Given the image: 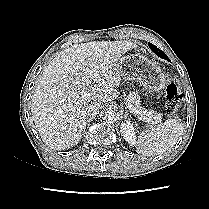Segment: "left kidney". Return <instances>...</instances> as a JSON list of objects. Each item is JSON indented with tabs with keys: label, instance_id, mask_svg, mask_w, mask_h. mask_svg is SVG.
Returning a JSON list of instances; mask_svg holds the SVG:
<instances>
[{
	"label": "left kidney",
	"instance_id": "obj_1",
	"mask_svg": "<svg viewBox=\"0 0 209 209\" xmlns=\"http://www.w3.org/2000/svg\"><path fill=\"white\" fill-rule=\"evenodd\" d=\"M121 134L125 141L130 145L136 144V128L132 125L130 121H124L121 123Z\"/></svg>",
	"mask_w": 209,
	"mask_h": 209
}]
</instances>
